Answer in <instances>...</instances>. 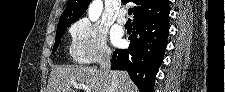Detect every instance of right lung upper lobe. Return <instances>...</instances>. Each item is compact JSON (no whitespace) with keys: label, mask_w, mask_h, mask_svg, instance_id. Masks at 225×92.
Listing matches in <instances>:
<instances>
[{"label":"right lung upper lobe","mask_w":225,"mask_h":92,"mask_svg":"<svg viewBox=\"0 0 225 92\" xmlns=\"http://www.w3.org/2000/svg\"><path fill=\"white\" fill-rule=\"evenodd\" d=\"M136 4L134 7V20L139 18H150L169 12L168 0H131ZM91 0H68L67 6L62 13L59 24H72L86 10ZM126 2V0H122ZM133 20V21H134Z\"/></svg>","instance_id":"right-lung-upper-lobe-1"}]
</instances>
